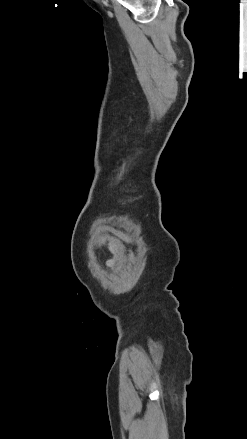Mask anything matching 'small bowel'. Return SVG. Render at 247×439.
I'll list each match as a JSON object with an SVG mask.
<instances>
[{
	"label": "small bowel",
	"instance_id": "obj_1",
	"mask_svg": "<svg viewBox=\"0 0 247 439\" xmlns=\"http://www.w3.org/2000/svg\"><path fill=\"white\" fill-rule=\"evenodd\" d=\"M107 265H108L109 267H114V265H115V259H110V260H108Z\"/></svg>",
	"mask_w": 247,
	"mask_h": 439
}]
</instances>
